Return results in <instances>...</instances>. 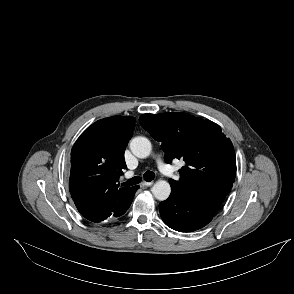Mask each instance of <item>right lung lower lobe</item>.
<instances>
[{"label": "right lung lower lobe", "mask_w": 294, "mask_h": 294, "mask_svg": "<svg viewBox=\"0 0 294 294\" xmlns=\"http://www.w3.org/2000/svg\"><path fill=\"white\" fill-rule=\"evenodd\" d=\"M138 188H139L138 186L131 187L130 191L128 192L126 197L123 199V201L119 203L116 207H114L110 212L103 213L98 217H92V218H86V219L92 222H100L107 219L108 217H114V216L119 217L123 215L127 211V209L130 207L134 194Z\"/></svg>", "instance_id": "obj_1"}]
</instances>
